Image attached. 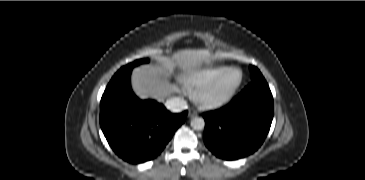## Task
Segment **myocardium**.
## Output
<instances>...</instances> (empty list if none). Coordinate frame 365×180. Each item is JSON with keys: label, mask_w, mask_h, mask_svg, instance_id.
<instances>
[{"label": "myocardium", "mask_w": 365, "mask_h": 180, "mask_svg": "<svg viewBox=\"0 0 365 180\" xmlns=\"http://www.w3.org/2000/svg\"><path fill=\"white\" fill-rule=\"evenodd\" d=\"M231 71H237L239 73V80L236 85L225 95L220 97H210L209 92L213 85L225 74ZM244 80V75L241 69L237 67H227L222 70L218 75H216L213 79L209 82L204 84L202 87L197 89L194 92L193 98L196 104L203 108V109H216L220 108L229 102H231L234 97L236 96L237 92L239 91L240 87L242 86Z\"/></svg>", "instance_id": "f54148a6"}]
</instances>
